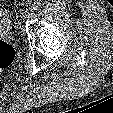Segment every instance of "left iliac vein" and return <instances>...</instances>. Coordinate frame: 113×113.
I'll return each mask as SVG.
<instances>
[{"instance_id":"obj_1","label":"left iliac vein","mask_w":113,"mask_h":113,"mask_svg":"<svg viewBox=\"0 0 113 113\" xmlns=\"http://www.w3.org/2000/svg\"><path fill=\"white\" fill-rule=\"evenodd\" d=\"M33 15V11L32 9H27L24 14H23V18L24 19H29L30 17H32Z\"/></svg>"}]
</instances>
